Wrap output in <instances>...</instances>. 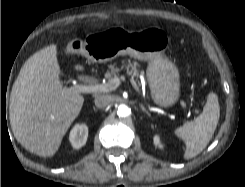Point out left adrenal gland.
Returning a JSON list of instances; mask_svg holds the SVG:
<instances>
[{
  "label": "left adrenal gland",
  "instance_id": "a2214340",
  "mask_svg": "<svg viewBox=\"0 0 245 187\" xmlns=\"http://www.w3.org/2000/svg\"><path fill=\"white\" fill-rule=\"evenodd\" d=\"M140 108L143 112H145L148 116H150V113L144 108V106L140 105Z\"/></svg>",
  "mask_w": 245,
  "mask_h": 187
}]
</instances>
